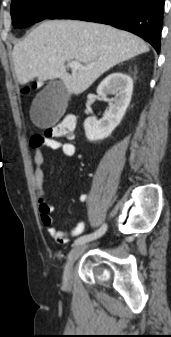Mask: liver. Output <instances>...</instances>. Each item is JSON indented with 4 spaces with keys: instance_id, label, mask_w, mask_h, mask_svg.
<instances>
[{
    "instance_id": "1",
    "label": "liver",
    "mask_w": 171,
    "mask_h": 337,
    "mask_svg": "<svg viewBox=\"0 0 171 337\" xmlns=\"http://www.w3.org/2000/svg\"><path fill=\"white\" fill-rule=\"evenodd\" d=\"M148 51V45L138 36L108 25L49 20L15 44L13 63L21 85L34 78H59L69 94L78 95L110 68ZM67 60L77 61L85 69L69 74Z\"/></svg>"
}]
</instances>
